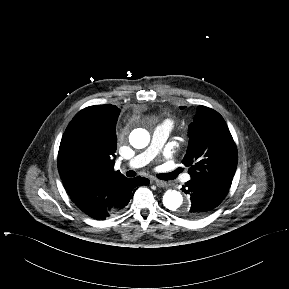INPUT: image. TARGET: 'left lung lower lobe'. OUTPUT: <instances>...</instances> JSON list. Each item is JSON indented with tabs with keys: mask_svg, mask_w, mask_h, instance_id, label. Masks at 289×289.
Returning a JSON list of instances; mask_svg holds the SVG:
<instances>
[{
	"mask_svg": "<svg viewBox=\"0 0 289 289\" xmlns=\"http://www.w3.org/2000/svg\"><path fill=\"white\" fill-rule=\"evenodd\" d=\"M191 197V207L184 213L188 218H200L217 207L225 198L229 188L203 180H189L182 187Z\"/></svg>",
	"mask_w": 289,
	"mask_h": 289,
	"instance_id": "obj_1",
	"label": "left lung lower lobe"
}]
</instances>
